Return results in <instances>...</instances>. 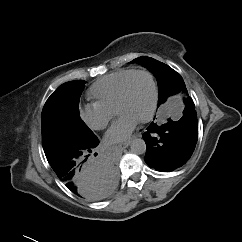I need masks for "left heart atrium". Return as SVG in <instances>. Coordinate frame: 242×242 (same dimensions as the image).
<instances>
[{
  "label": "left heart atrium",
  "instance_id": "left-heart-atrium-1",
  "mask_svg": "<svg viewBox=\"0 0 242 242\" xmlns=\"http://www.w3.org/2000/svg\"><path fill=\"white\" fill-rule=\"evenodd\" d=\"M138 124V120L129 115H120L105 135L108 143H119L129 139Z\"/></svg>",
  "mask_w": 242,
  "mask_h": 242
}]
</instances>
